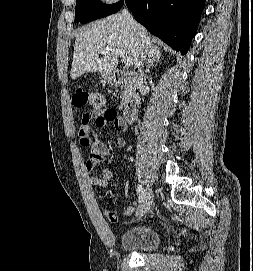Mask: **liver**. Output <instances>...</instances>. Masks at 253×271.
I'll return each instance as SVG.
<instances>
[{"label": "liver", "instance_id": "obj_1", "mask_svg": "<svg viewBox=\"0 0 253 271\" xmlns=\"http://www.w3.org/2000/svg\"><path fill=\"white\" fill-rule=\"evenodd\" d=\"M120 49L132 59L134 68L139 67L141 56L154 57L159 47L152 44L147 30L138 24L132 28L122 14L108 16L81 28L76 34L71 78L74 80L85 72L112 73L116 70L118 59L108 52L99 58L101 49Z\"/></svg>", "mask_w": 253, "mask_h": 271}]
</instances>
